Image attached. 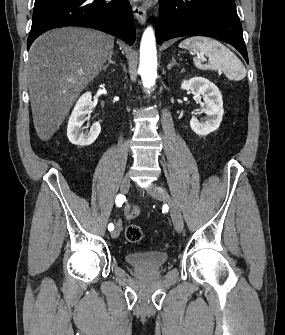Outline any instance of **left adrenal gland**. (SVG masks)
<instances>
[{"label": "left adrenal gland", "instance_id": "a2214340", "mask_svg": "<svg viewBox=\"0 0 285 335\" xmlns=\"http://www.w3.org/2000/svg\"><path fill=\"white\" fill-rule=\"evenodd\" d=\"M173 66H179V64H177L175 58H172L171 64H168V66H167L168 70H171V68H173Z\"/></svg>", "mask_w": 285, "mask_h": 335}]
</instances>
